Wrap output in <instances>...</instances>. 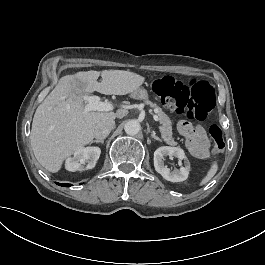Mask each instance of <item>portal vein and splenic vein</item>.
Listing matches in <instances>:
<instances>
[{"mask_svg": "<svg viewBox=\"0 0 265 265\" xmlns=\"http://www.w3.org/2000/svg\"><path fill=\"white\" fill-rule=\"evenodd\" d=\"M79 97L82 98L87 104L85 105L84 109H83V116H86L90 111H108L111 109V106L107 103H104L101 101L100 96L97 95H86V94H79ZM67 95H65L63 97V99H66ZM154 120L156 122L159 121L158 116H154Z\"/></svg>", "mask_w": 265, "mask_h": 265, "instance_id": "portal-vein-and-splenic-vein-1", "label": "portal vein and splenic vein"}]
</instances>
